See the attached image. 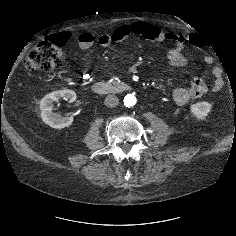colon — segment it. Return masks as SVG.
I'll return each mask as SVG.
<instances>
[{
	"label": "colon",
	"instance_id": "5ec220e1",
	"mask_svg": "<svg viewBox=\"0 0 236 236\" xmlns=\"http://www.w3.org/2000/svg\"><path fill=\"white\" fill-rule=\"evenodd\" d=\"M64 42L57 36L50 37L33 48L25 59V67L32 71L51 72L63 65L66 54Z\"/></svg>",
	"mask_w": 236,
	"mask_h": 236
}]
</instances>
